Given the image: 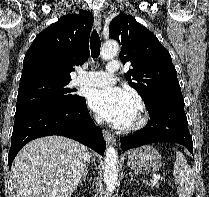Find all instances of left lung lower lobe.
<instances>
[{
    "mask_svg": "<svg viewBox=\"0 0 209 197\" xmlns=\"http://www.w3.org/2000/svg\"><path fill=\"white\" fill-rule=\"evenodd\" d=\"M183 99H164L147 108L148 124L136 134L121 137L123 151L154 142H174L184 145L193 154L192 137L188 130Z\"/></svg>",
    "mask_w": 209,
    "mask_h": 197,
    "instance_id": "0a47b994",
    "label": "left lung lower lobe"
}]
</instances>
